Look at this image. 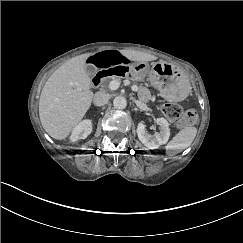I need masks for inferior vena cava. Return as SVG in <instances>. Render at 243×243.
<instances>
[{
	"label": "inferior vena cava",
	"mask_w": 243,
	"mask_h": 243,
	"mask_svg": "<svg viewBox=\"0 0 243 243\" xmlns=\"http://www.w3.org/2000/svg\"><path fill=\"white\" fill-rule=\"evenodd\" d=\"M108 100L109 97L104 92H97L93 97V103L95 106H103L108 102Z\"/></svg>",
	"instance_id": "inferior-vena-cava-1"
}]
</instances>
